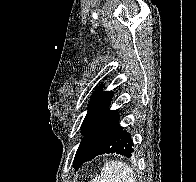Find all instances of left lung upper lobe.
I'll return each instance as SVG.
<instances>
[{"instance_id":"5c2ea615","label":"left lung upper lobe","mask_w":196,"mask_h":182,"mask_svg":"<svg viewBox=\"0 0 196 182\" xmlns=\"http://www.w3.org/2000/svg\"><path fill=\"white\" fill-rule=\"evenodd\" d=\"M103 84L96 88L91 97L87 115L82 123V139L76 152L74 164L80 155L93 151L119 125L118 111L110 110L112 92H103Z\"/></svg>"}]
</instances>
